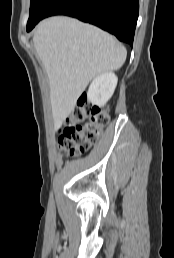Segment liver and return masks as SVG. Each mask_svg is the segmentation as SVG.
<instances>
[{
    "instance_id": "1",
    "label": "liver",
    "mask_w": 174,
    "mask_h": 258,
    "mask_svg": "<svg viewBox=\"0 0 174 258\" xmlns=\"http://www.w3.org/2000/svg\"><path fill=\"white\" fill-rule=\"evenodd\" d=\"M33 42L48 76L56 127L73 111L89 82L120 69L127 56L125 47L112 35L64 16L40 22Z\"/></svg>"
}]
</instances>
